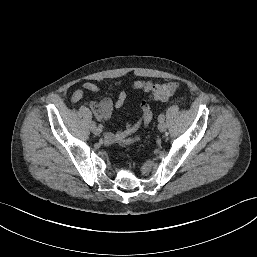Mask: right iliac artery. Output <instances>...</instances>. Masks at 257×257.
Returning <instances> with one entry per match:
<instances>
[{
    "mask_svg": "<svg viewBox=\"0 0 257 257\" xmlns=\"http://www.w3.org/2000/svg\"><path fill=\"white\" fill-rule=\"evenodd\" d=\"M95 127H96V123L93 121V122H92V129L95 128ZM99 127L102 128V125H99Z\"/></svg>",
    "mask_w": 257,
    "mask_h": 257,
    "instance_id": "82829eb1",
    "label": "right iliac artery"
}]
</instances>
